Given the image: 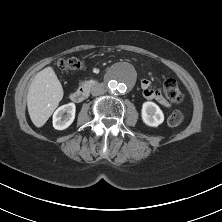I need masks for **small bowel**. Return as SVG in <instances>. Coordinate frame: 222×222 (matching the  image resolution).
<instances>
[{
  "mask_svg": "<svg viewBox=\"0 0 222 222\" xmlns=\"http://www.w3.org/2000/svg\"><path fill=\"white\" fill-rule=\"evenodd\" d=\"M140 84L143 95L147 100H156L161 105L169 107L168 102L164 99L159 91L152 88L151 82L148 79H142Z\"/></svg>",
  "mask_w": 222,
  "mask_h": 222,
  "instance_id": "small-bowel-1",
  "label": "small bowel"
}]
</instances>
